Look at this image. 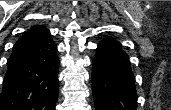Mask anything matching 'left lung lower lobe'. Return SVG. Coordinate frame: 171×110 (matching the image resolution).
Segmentation results:
<instances>
[{
  "label": "left lung lower lobe",
  "mask_w": 171,
  "mask_h": 110,
  "mask_svg": "<svg viewBox=\"0 0 171 110\" xmlns=\"http://www.w3.org/2000/svg\"><path fill=\"white\" fill-rule=\"evenodd\" d=\"M130 66L120 42L111 37L99 42L92 70L96 110H136L135 80Z\"/></svg>",
  "instance_id": "0a47b994"
}]
</instances>
